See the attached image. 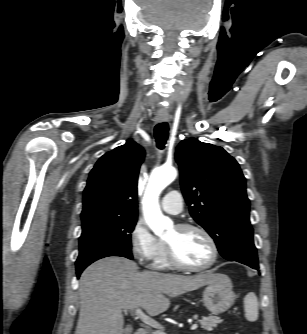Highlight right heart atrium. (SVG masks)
Wrapping results in <instances>:
<instances>
[{"mask_svg": "<svg viewBox=\"0 0 307 334\" xmlns=\"http://www.w3.org/2000/svg\"><path fill=\"white\" fill-rule=\"evenodd\" d=\"M130 250L140 264L152 262L161 249L162 243L150 231L147 224L138 219L129 233Z\"/></svg>", "mask_w": 307, "mask_h": 334, "instance_id": "obj_1", "label": "right heart atrium"}]
</instances>
